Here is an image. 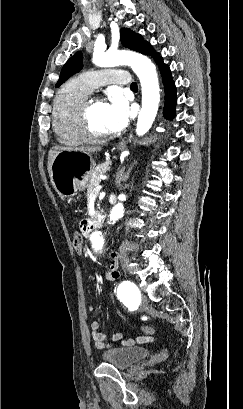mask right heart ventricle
<instances>
[{"mask_svg":"<svg viewBox=\"0 0 243 409\" xmlns=\"http://www.w3.org/2000/svg\"><path fill=\"white\" fill-rule=\"evenodd\" d=\"M91 90L80 77L66 81L58 90L52 106V125L58 140L76 146L85 142L78 124V106Z\"/></svg>","mask_w":243,"mask_h":409,"instance_id":"obj_1","label":"right heart ventricle"}]
</instances>
